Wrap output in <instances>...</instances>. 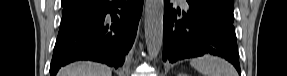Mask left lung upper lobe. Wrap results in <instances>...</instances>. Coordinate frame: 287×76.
<instances>
[{
	"mask_svg": "<svg viewBox=\"0 0 287 76\" xmlns=\"http://www.w3.org/2000/svg\"><path fill=\"white\" fill-rule=\"evenodd\" d=\"M233 22V0H190Z\"/></svg>",
	"mask_w": 287,
	"mask_h": 76,
	"instance_id": "1",
	"label": "left lung upper lobe"
}]
</instances>
